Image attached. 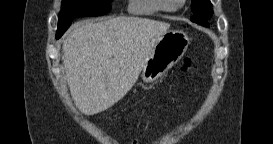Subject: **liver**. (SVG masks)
Instances as JSON below:
<instances>
[{
	"mask_svg": "<svg viewBox=\"0 0 273 144\" xmlns=\"http://www.w3.org/2000/svg\"><path fill=\"white\" fill-rule=\"evenodd\" d=\"M170 24L116 17L77 23L63 42V64L71 96L85 115L105 111L136 83Z\"/></svg>",
	"mask_w": 273,
	"mask_h": 144,
	"instance_id": "liver-1",
	"label": "liver"
}]
</instances>
